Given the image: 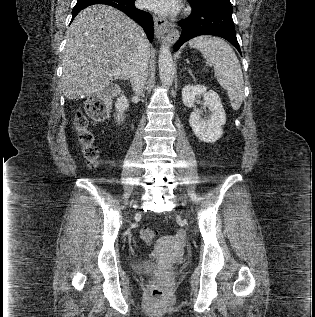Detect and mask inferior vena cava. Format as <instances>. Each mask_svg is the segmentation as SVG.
Segmentation results:
<instances>
[{"label":"inferior vena cava","instance_id":"obj_1","mask_svg":"<svg viewBox=\"0 0 315 317\" xmlns=\"http://www.w3.org/2000/svg\"><path fill=\"white\" fill-rule=\"evenodd\" d=\"M148 40L144 37L138 45L137 54L133 60L130 82L136 95L143 92L148 76Z\"/></svg>","mask_w":315,"mask_h":317}]
</instances>
